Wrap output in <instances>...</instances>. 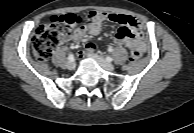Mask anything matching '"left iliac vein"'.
I'll return each instance as SVG.
<instances>
[{"instance_id":"obj_1","label":"left iliac vein","mask_w":194,"mask_h":133,"mask_svg":"<svg viewBox=\"0 0 194 133\" xmlns=\"http://www.w3.org/2000/svg\"><path fill=\"white\" fill-rule=\"evenodd\" d=\"M88 56L93 58L103 69L110 71V72L114 71L115 67L111 63L104 60L98 54L89 53Z\"/></svg>"}]
</instances>
